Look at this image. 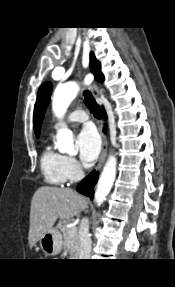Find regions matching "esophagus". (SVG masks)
Here are the masks:
<instances>
[{
  "label": "esophagus",
  "instance_id": "34e87169",
  "mask_svg": "<svg viewBox=\"0 0 175 287\" xmlns=\"http://www.w3.org/2000/svg\"><path fill=\"white\" fill-rule=\"evenodd\" d=\"M90 90L95 97L99 96V92H100L99 86L95 82L90 84ZM101 132H102V128H101ZM102 137H103L102 150H101L100 158H99L98 163H97L96 168H95L96 171L101 168L102 164L105 161L106 155H107L108 140H107V137L105 136V134L103 132H102Z\"/></svg>",
  "mask_w": 175,
  "mask_h": 287
}]
</instances>
